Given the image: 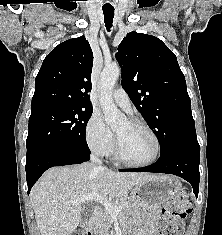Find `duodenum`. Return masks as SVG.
<instances>
[{
    "label": "duodenum",
    "mask_w": 222,
    "mask_h": 235,
    "mask_svg": "<svg viewBox=\"0 0 222 235\" xmlns=\"http://www.w3.org/2000/svg\"><path fill=\"white\" fill-rule=\"evenodd\" d=\"M99 213H100V208L96 207V208L93 210V215L96 216V215H98ZM85 235H93L90 226H87V227H86Z\"/></svg>",
    "instance_id": "obj_1"
}]
</instances>
